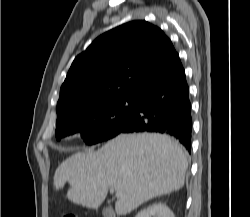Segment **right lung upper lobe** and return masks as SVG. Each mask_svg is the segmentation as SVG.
Instances as JSON below:
<instances>
[{"instance_id": "cb5924a9", "label": "right lung upper lobe", "mask_w": 250, "mask_h": 217, "mask_svg": "<svg viewBox=\"0 0 250 217\" xmlns=\"http://www.w3.org/2000/svg\"><path fill=\"white\" fill-rule=\"evenodd\" d=\"M179 60L170 39L146 21L104 33L73 61L60 89L57 122L107 101L133 98Z\"/></svg>"}]
</instances>
